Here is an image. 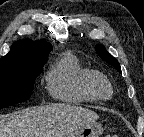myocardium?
I'll use <instances>...</instances> for the list:
<instances>
[{"mask_svg":"<svg viewBox=\"0 0 144 137\" xmlns=\"http://www.w3.org/2000/svg\"><path fill=\"white\" fill-rule=\"evenodd\" d=\"M108 87L109 95H103L102 87ZM87 90L98 100H108L113 96V85L109 78L101 72L92 71L86 81Z\"/></svg>","mask_w":144,"mask_h":137,"instance_id":"myocardium-1","label":"myocardium"}]
</instances>
